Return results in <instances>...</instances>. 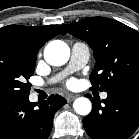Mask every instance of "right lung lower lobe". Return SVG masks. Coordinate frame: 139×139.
Instances as JSON below:
<instances>
[{"label": "right lung lower lobe", "mask_w": 139, "mask_h": 139, "mask_svg": "<svg viewBox=\"0 0 139 139\" xmlns=\"http://www.w3.org/2000/svg\"><path fill=\"white\" fill-rule=\"evenodd\" d=\"M66 103L60 95L40 103L28 97H0V139H47L54 114Z\"/></svg>", "instance_id": "1"}]
</instances>
